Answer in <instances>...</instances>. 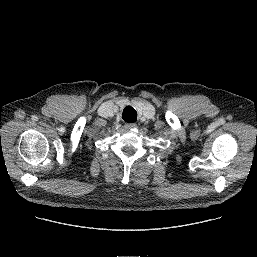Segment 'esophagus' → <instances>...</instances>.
<instances>
[{
  "label": "esophagus",
  "mask_w": 257,
  "mask_h": 257,
  "mask_svg": "<svg viewBox=\"0 0 257 257\" xmlns=\"http://www.w3.org/2000/svg\"><path fill=\"white\" fill-rule=\"evenodd\" d=\"M137 125L135 123H127L125 124V128L126 129H133L135 128Z\"/></svg>",
  "instance_id": "34e87169"
}]
</instances>
